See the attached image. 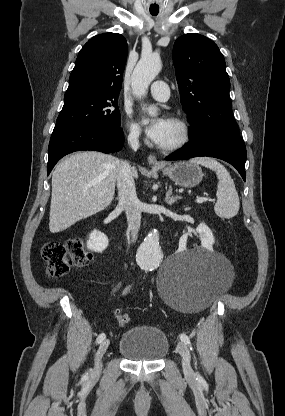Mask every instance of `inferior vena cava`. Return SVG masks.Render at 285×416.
Listing matches in <instances>:
<instances>
[{
    "instance_id": "1",
    "label": "inferior vena cava",
    "mask_w": 285,
    "mask_h": 416,
    "mask_svg": "<svg viewBox=\"0 0 285 416\" xmlns=\"http://www.w3.org/2000/svg\"><path fill=\"white\" fill-rule=\"evenodd\" d=\"M139 136L132 130L128 136V144L136 152L139 148ZM133 168L128 162H121L117 168V188L119 194V204L123 206L128 222V228L131 232V240H137V234L141 224V202L136 194V188L133 180Z\"/></svg>"
}]
</instances>
